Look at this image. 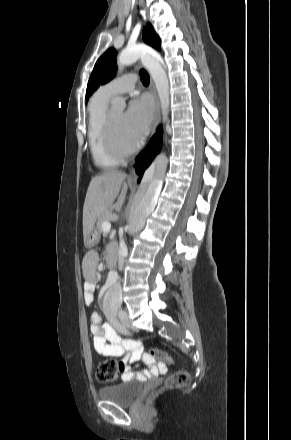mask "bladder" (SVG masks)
I'll return each mask as SVG.
<instances>
[{
    "label": "bladder",
    "mask_w": 291,
    "mask_h": 440,
    "mask_svg": "<svg viewBox=\"0 0 291 440\" xmlns=\"http://www.w3.org/2000/svg\"><path fill=\"white\" fill-rule=\"evenodd\" d=\"M98 394L104 401L129 405L141 394V388L135 382L126 381L102 387Z\"/></svg>",
    "instance_id": "31cf9c89"
}]
</instances>
